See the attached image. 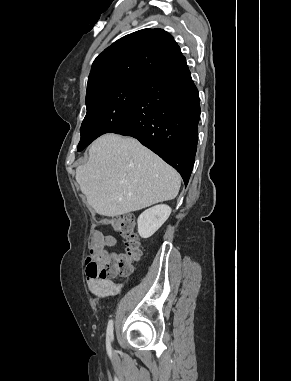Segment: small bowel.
<instances>
[{"label": "small bowel", "mask_w": 291, "mask_h": 381, "mask_svg": "<svg viewBox=\"0 0 291 381\" xmlns=\"http://www.w3.org/2000/svg\"><path fill=\"white\" fill-rule=\"evenodd\" d=\"M92 241L93 245L92 248H106L108 246H112L116 243V240L112 236L104 235L100 231H94L92 233ZM87 285L89 287V290L99 296V297H106L117 294L120 289L121 285L118 283H115L111 279H102V278H87Z\"/></svg>", "instance_id": "1"}]
</instances>
